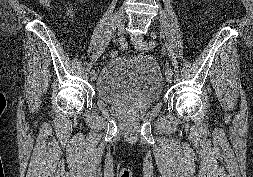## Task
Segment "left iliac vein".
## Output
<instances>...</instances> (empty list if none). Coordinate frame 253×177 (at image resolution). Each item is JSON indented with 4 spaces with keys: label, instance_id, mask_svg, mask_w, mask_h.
<instances>
[{
    "label": "left iliac vein",
    "instance_id": "obj_1",
    "mask_svg": "<svg viewBox=\"0 0 253 177\" xmlns=\"http://www.w3.org/2000/svg\"><path fill=\"white\" fill-rule=\"evenodd\" d=\"M131 42L134 44V46L137 49L144 50L143 48L140 47V43L145 42L142 36H140V35L131 36ZM165 75H166L167 82L171 83L172 82V74L171 73H165Z\"/></svg>",
    "mask_w": 253,
    "mask_h": 177
}]
</instances>
